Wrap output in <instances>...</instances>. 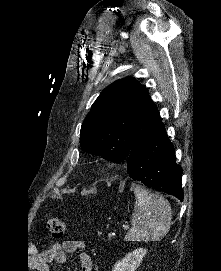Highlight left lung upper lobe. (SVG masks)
<instances>
[{
	"instance_id": "1",
	"label": "left lung upper lobe",
	"mask_w": 221,
	"mask_h": 271,
	"mask_svg": "<svg viewBox=\"0 0 221 271\" xmlns=\"http://www.w3.org/2000/svg\"><path fill=\"white\" fill-rule=\"evenodd\" d=\"M161 123L145 86L126 77L110 84L95 100L81 126L80 145L88 153L121 162Z\"/></svg>"
}]
</instances>
